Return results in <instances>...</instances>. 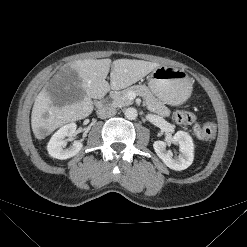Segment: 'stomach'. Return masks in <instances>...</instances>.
Listing matches in <instances>:
<instances>
[{
  "label": "stomach",
  "instance_id": "0dacf381",
  "mask_svg": "<svg viewBox=\"0 0 247 247\" xmlns=\"http://www.w3.org/2000/svg\"><path fill=\"white\" fill-rule=\"evenodd\" d=\"M148 86L158 99L171 106L183 104L192 91L188 74L167 66H159L150 73Z\"/></svg>",
  "mask_w": 247,
  "mask_h": 247
}]
</instances>
